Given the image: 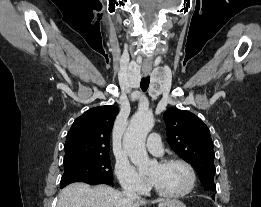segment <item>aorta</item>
<instances>
[{"label": "aorta", "instance_id": "aorta-1", "mask_svg": "<svg viewBox=\"0 0 261 207\" xmlns=\"http://www.w3.org/2000/svg\"><path fill=\"white\" fill-rule=\"evenodd\" d=\"M154 126V118L149 112H137L131 119L123 137V145L131 162L144 172L154 164L146 151L145 142L148 133Z\"/></svg>", "mask_w": 261, "mask_h": 207}]
</instances>
